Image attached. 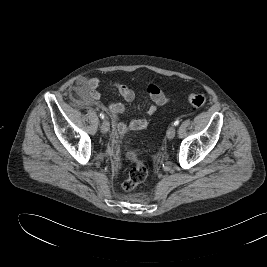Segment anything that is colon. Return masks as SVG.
Segmentation results:
<instances>
[{"mask_svg":"<svg viewBox=\"0 0 267 267\" xmlns=\"http://www.w3.org/2000/svg\"><path fill=\"white\" fill-rule=\"evenodd\" d=\"M188 102L194 108H201L206 103V98L203 94L193 93L189 95ZM125 156L128 160L134 163V166L129 171L127 178L122 184V187L126 191H131L145 181L148 176V170L146 166L138 159L135 151L128 149L125 152Z\"/></svg>","mask_w":267,"mask_h":267,"instance_id":"colon-1","label":"colon"}]
</instances>
